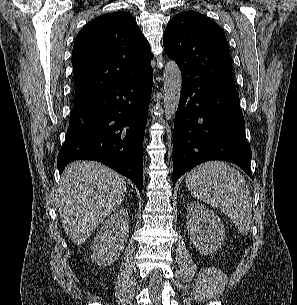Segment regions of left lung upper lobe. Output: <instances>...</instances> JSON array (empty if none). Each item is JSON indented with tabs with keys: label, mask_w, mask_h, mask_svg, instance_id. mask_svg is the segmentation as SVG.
Returning <instances> with one entry per match:
<instances>
[{
	"label": "left lung upper lobe",
	"mask_w": 297,
	"mask_h": 305,
	"mask_svg": "<svg viewBox=\"0 0 297 305\" xmlns=\"http://www.w3.org/2000/svg\"><path fill=\"white\" fill-rule=\"evenodd\" d=\"M166 54L196 77L232 76L231 54L222 29L197 12L174 16L164 32Z\"/></svg>",
	"instance_id": "1"
}]
</instances>
